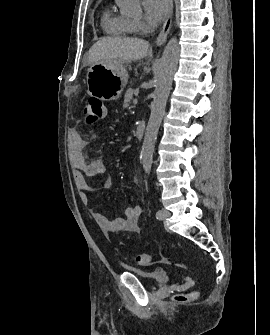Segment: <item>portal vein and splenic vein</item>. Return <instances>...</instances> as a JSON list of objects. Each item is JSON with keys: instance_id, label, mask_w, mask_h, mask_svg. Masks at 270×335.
Wrapping results in <instances>:
<instances>
[{"instance_id": "1", "label": "portal vein and splenic vein", "mask_w": 270, "mask_h": 335, "mask_svg": "<svg viewBox=\"0 0 270 335\" xmlns=\"http://www.w3.org/2000/svg\"><path fill=\"white\" fill-rule=\"evenodd\" d=\"M134 105L138 103V99L135 97L132 102Z\"/></svg>"}]
</instances>
